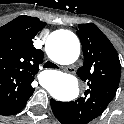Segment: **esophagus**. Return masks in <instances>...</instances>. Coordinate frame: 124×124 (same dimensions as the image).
<instances>
[{
    "label": "esophagus",
    "mask_w": 124,
    "mask_h": 124,
    "mask_svg": "<svg viewBox=\"0 0 124 124\" xmlns=\"http://www.w3.org/2000/svg\"><path fill=\"white\" fill-rule=\"evenodd\" d=\"M63 71L69 72V73H73L74 72V68L73 67H63Z\"/></svg>",
    "instance_id": "34e87169"
}]
</instances>
